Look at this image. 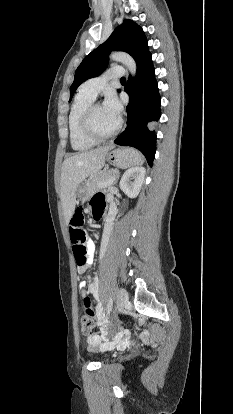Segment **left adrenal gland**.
<instances>
[{
	"label": "left adrenal gland",
	"mask_w": 233,
	"mask_h": 414,
	"mask_svg": "<svg viewBox=\"0 0 233 414\" xmlns=\"http://www.w3.org/2000/svg\"><path fill=\"white\" fill-rule=\"evenodd\" d=\"M119 177H120V173L117 175V177H116V179H115V181H114V183H113L114 185H115V184H117V182H118V180H119Z\"/></svg>",
	"instance_id": "a2214340"
}]
</instances>
